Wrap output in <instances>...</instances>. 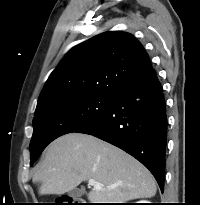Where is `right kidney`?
<instances>
[{
	"label": "right kidney",
	"instance_id": "right-kidney-1",
	"mask_svg": "<svg viewBox=\"0 0 200 205\" xmlns=\"http://www.w3.org/2000/svg\"><path fill=\"white\" fill-rule=\"evenodd\" d=\"M136 203H150L149 201H138Z\"/></svg>",
	"mask_w": 200,
	"mask_h": 205
}]
</instances>
